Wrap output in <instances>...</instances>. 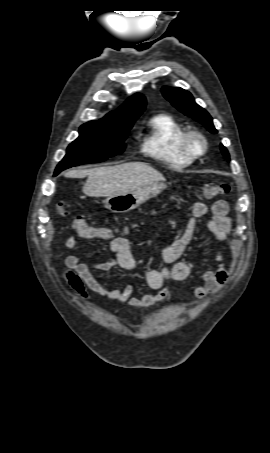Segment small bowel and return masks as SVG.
<instances>
[{
  "mask_svg": "<svg viewBox=\"0 0 270 453\" xmlns=\"http://www.w3.org/2000/svg\"><path fill=\"white\" fill-rule=\"evenodd\" d=\"M208 212L211 214L207 222L208 230L215 236L217 241L228 249L229 256L234 258L237 255L238 246L229 237L232 220L229 216L228 204L224 200L215 201L210 210L202 202H196L191 208L189 218L182 233L168 246L159 248L155 252L156 258L165 264H172L161 268H149L143 273L145 284L156 294L139 293L135 295L136 288L133 284L124 287L113 285L105 286L98 281L94 271L104 274L105 279L110 282L111 271L115 267L125 270L134 269L136 261L133 255L132 243L125 237H115L111 240L110 248L114 259L102 262H88L75 255L66 257L67 269L64 273L73 293L82 300L88 298V290L98 296L127 303L130 307L148 308L173 294V288L165 286L166 282L185 281L190 278L196 270L197 261H179L194 239L196 221L204 217ZM99 238L105 236L97 235ZM64 244L70 249H76L79 241L74 236H68ZM217 267L213 270H202L198 274V282L193 293L197 300H202L207 294L217 293L228 281L229 272L224 262L225 255L218 251L214 257Z\"/></svg>",
  "mask_w": 270,
  "mask_h": 453,
  "instance_id": "obj_1",
  "label": "small bowel"
}]
</instances>
